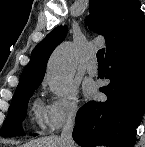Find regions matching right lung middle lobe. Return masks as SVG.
I'll list each match as a JSON object with an SVG mask.
<instances>
[{"instance_id": "dd1d6c3e", "label": "right lung middle lobe", "mask_w": 145, "mask_h": 147, "mask_svg": "<svg viewBox=\"0 0 145 147\" xmlns=\"http://www.w3.org/2000/svg\"><path fill=\"white\" fill-rule=\"evenodd\" d=\"M38 86H31L15 91L9 113L0 129L2 137L20 136L23 135L21 122L26 117V109L29 98L33 95Z\"/></svg>"}]
</instances>
